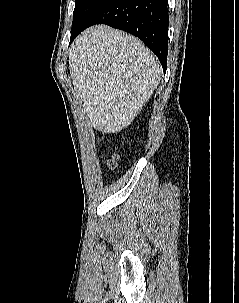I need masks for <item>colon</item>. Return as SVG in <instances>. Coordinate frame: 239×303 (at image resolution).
<instances>
[{"label":"colon","mask_w":239,"mask_h":303,"mask_svg":"<svg viewBox=\"0 0 239 303\" xmlns=\"http://www.w3.org/2000/svg\"><path fill=\"white\" fill-rule=\"evenodd\" d=\"M119 156L118 155H114L106 164L107 169L109 170H114L117 168L118 166V161H119Z\"/></svg>","instance_id":"colon-1"}]
</instances>
